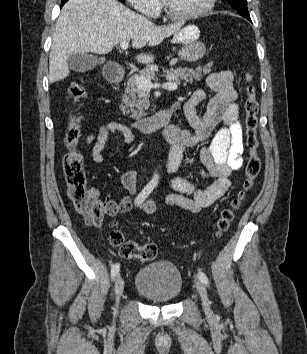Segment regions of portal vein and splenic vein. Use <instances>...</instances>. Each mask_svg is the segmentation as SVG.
<instances>
[{"instance_id": "18ae733b", "label": "portal vein and splenic vein", "mask_w": 307, "mask_h": 354, "mask_svg": "<svg viewBox=\"0 0 307 354\" xmlns=\"http://www.w3.org/2000/svg\"><path fill=\"white\" fill-rule=\"evenodd\" d=\"M120 47L122 50H127L128 47H129V42L128 41H123L120 43ZM137 86L141 89V90H144V91H149L150 89L152 88H157V87H163L167 90H171V91H174L178 88L177 84L176 83H173L171 81L167 82V83H163L162 85L158 84V83H155L153 84L151 82L150 79H147V78H143V77H139L137 78Z\"/></svg>"}]
</instances>
